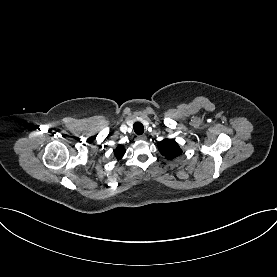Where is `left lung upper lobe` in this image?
<instances>
[{"mask_svg":"<svg viewBox=\"0 0 277 277\" xmlns=\"http://www.w3.org/2000/svg\"><path fill=\"white\" fill-rule=\"evenodd\" d=\"M158 149L162 155H164L167 159H173L179 155H181L182 151L177 144V142L173 139H164L158 143Z\"/></svg>","mask_w":277,"mask_h":277,"instance_id":"5c2ea615","label":"left lung upper lobe"}]
</instances>
